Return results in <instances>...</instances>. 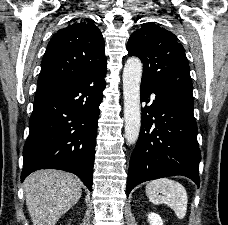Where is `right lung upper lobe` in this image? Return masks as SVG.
<instances>
[{
    "label": "right lung upper lobe",
    "mask_w": 228,
    "mask_h": 225,
    "mask_svg": "<svg viewBox=\"0 0 228 225\" xmlns=\"http://www.w3.org/2000/svg\"><path fill=\"white\" fill-rule=\"evenodd\" d=\"M104 39L92 20L71 23L48 43L37 89L78 79L107 65Z\"/></svg>",
    "instance_id": "obj_1"
}]
</instances>
